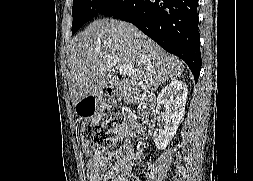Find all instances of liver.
<instances>
[{
  "label": "liver",
  "mask_w": 253,
  "mask_h": 181,
  "mask_svg": "<svg viewBox=\"0 0 253 181\" xmlns=\"http://www.w3.org/2000/svg\"><path fill=\"white\" fill-rule=\"evenodd\" d=\"M68 84L74 104L105 88L125 97L150 93L179 78L184 65L135 26L125 21L99 19L72 39L68 52ZM131 65L134 74L119 80L114 73Z\"/></svg>",
  "instance_id": "6515ba94"
}]
</instances>
